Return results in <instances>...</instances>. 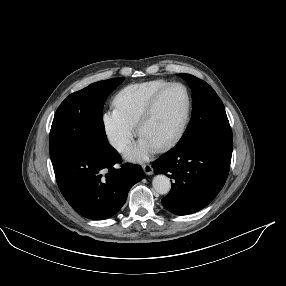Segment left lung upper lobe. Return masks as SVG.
Listing matches in <instances>:
<instances>
[{"label": "left lung upper lobe", "mask_w": 286, "mask_h": 286, "mask_svg": "<svg viewBox=\"0 0 286 286\" xmlns=\"http://www.w3.org/2000/svg\"><path fill=\"white\" fill-rule=\"evenodd\" d=\"M192 89L193 114L175 146L189 147L203 142H232V131L221 99L211 86L197 77L180 73Z\"/></svg>", "instance_id": "left-lung-upper-lobe-1"}]
</instances>
